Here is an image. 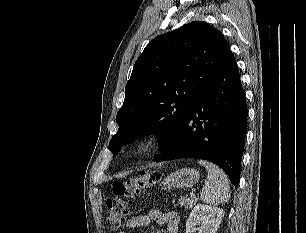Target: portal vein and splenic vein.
Returning a JSON list of instances; mask_svg holds the SVG:
<instances>
[{"label":"portal vein and splenic vein","mask_w":306,"mask_h":233,"mask_svg":"<svg viewBox=\"0 0 306 233\" xmlns=\"http://www.w3.org/2000/svg\"><path fill=\"white\" fill-rule=\"evenodd\" d=\"M190 196H191V197H194V196H195V194H194L193 192H191Z\"/></svg>","instance_id":"portal-vein-and-splenic-vein-1"}]
</instances>
